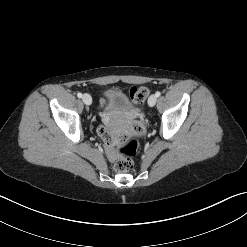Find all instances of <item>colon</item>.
Segmentation results:
<instances>
[{
  "mask_svg": "<svg viewBox=\"0 0 247 247\" xmlns=\"http://www.w3.org/2000/svg\"><path fill=\"white\" fill-rule=\"evenodd\" d=\"M130 98L135 103H142L147 98L149 90L146 87H132ZM101 137L108 148L114 162V169L118 172H127L134 166V160L139 150V138L144 134L141 123L135 122L129 135L114 136L105 127L100 128Z\"/></svg>",
  "mask_w": 247,
  "mask_h": 247,
  "instance_id": "colon-1",
  "label": "colon"
}]
</instances>
